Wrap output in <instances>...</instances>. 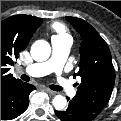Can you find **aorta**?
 I'll use <instances>...</instances> for the list:
<instances>
[{"mask_svg": "<svg viewBox=\"0 0 121 121\" xmlns=\"http://www.w3.org/2000/svg\"><path fill=\"white\" fill-rule=\"evenodd\" d=\"M30 53L35 61L38 62L46 61L51 54L50 44L45 40H37L31 46ZM52 103L55 109L63 110L67 104V100L62 95H56Z\"/></svg>", "mask_w": 121, "mask_h": 121, "instance_id": "aorta-1", "label": "aorta"}]
</instances>
